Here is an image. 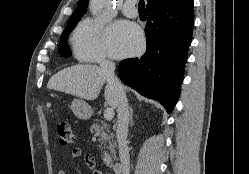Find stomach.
Returning <instances> with one entry per match:
<instances>
[{
  "instance_id": "obj_1",
  "label": "stomach",
  "mask_w": 249,
  "mask_h": 174,
  "mask_svg": "<svg viewBox=\"0 0 249 174\" xmlns=\"http://www.w3.org/2000/svg\"><path fill=\"white\" fill-rule=\"evenodd\" d=\"M71 109L79 119H89L92 114L91 107L83 100L74 99L71 104Z\"/></svg>"
}]
</instances>
